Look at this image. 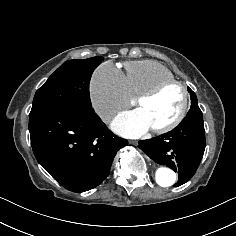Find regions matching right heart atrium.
Instances as JSON below:
<instances>
[{"instance_id":"1","label":"right heart atrium","mask_w":236,"mask_h":236,"mask_svg":"<svg viewBox=\"0 0 236 236\" xmlns=\"http://www.w3.org/2000/svg\"><path fill=\"white\" fill-rule=\"evenodd\" d=\"M89 92L92 108L104 123L129 104V92L124 75L111 63L97 67L90 80Z\"/></svg>"}]
</instances>
